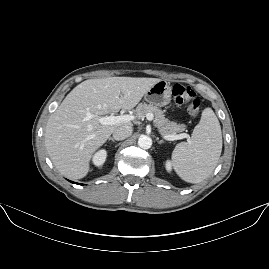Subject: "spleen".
Listing matches in <instances>:
<instances>
[{
  "mask_svg": "<svg viewBox=\"0 0 269 269\" xmlns=\"http://www.w3.org/2000/svg\"><path fill=\"white\" fill-rule=\"evenodd\" d=\"M222 151V132L219 120L211 108H205L200 122L188 142L176 145L172 165L186 182L200 183L215 169Z\"/></svg>",
  "mask_w": 269,
  "mask_h": 269,
  "instance_id": "obj_1",
  "label": "spleen"
}]
</instances>
